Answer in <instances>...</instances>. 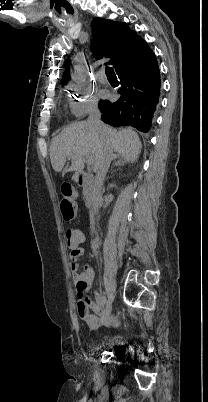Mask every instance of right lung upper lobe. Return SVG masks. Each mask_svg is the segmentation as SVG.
<instances>
[{
  "mask_svg": "<svg viewBox=\"0 0 208 402\" xmlns=\"http://www.w3.org/2000/svg\"><path fill=\"white\" fill-rule=\"evenodd\" d=\"M93 42L92 51L97 59L110 57L107 64L113 65L116 70L118 58L126 52L137 33L130 30L126 23L114 22L102 18H95L92 22ZM70 79L65 71L62 83Z\"/></svg>",
  "mask_w": 208,
  "mask_h": 402,
  "instance_id": "cb5924a9",
  "label": "right lung upper lobe"
}]
</instances>
